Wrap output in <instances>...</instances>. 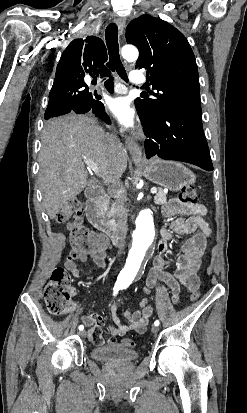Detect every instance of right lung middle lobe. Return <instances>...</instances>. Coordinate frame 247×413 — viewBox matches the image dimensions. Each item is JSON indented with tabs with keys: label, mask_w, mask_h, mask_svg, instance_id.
Returning a JSON list of instances; mask_svg holds the SVG:
<instances>
[{
	"label": "right lung middle lobe",
	"mask_w": 247,
	"mask_h": 413,
	"mask_svg": "<svg viewBox=\"0 0 247 413\" xmlns=\"http://www.w3.org/2000/svg\"><path fill=\"white\" fill-rule=\"evenodd\" d=\"M83 87L84 84L82 81L54 82L49 99L63 98L77 94Z\"/></svg>",
	"instance_id": "1"
}]
</instances>
